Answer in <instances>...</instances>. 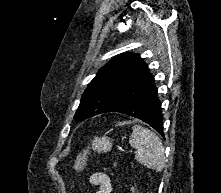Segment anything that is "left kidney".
I'll use <instances>...</instances> for the list:
<instances>
[{
    "mask_svg": "<svg viewBox=\"0 0 221 193\" xmlns=\"http://www.w3.org/2000/svg\"><path fill=\"white\" fill-rule=\"evenodd\" d=\"M132 193H134V188H131Z\"/></svg>",
    "mask_w": 221,
    "mask_h": 193,
    "instance_id": "5707ae66",
    "label": "left kidney"
}]
</instances>
